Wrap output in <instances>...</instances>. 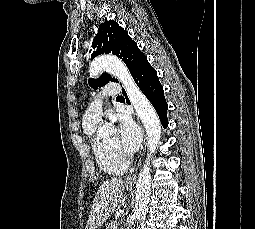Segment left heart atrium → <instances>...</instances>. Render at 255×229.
<instances>
[{
  "instance_id": "39dd6f15",
  "label": "left heart atrium",
  "mask_w": 255,
  "mask_h": 229,
  "mask_svg": "<svg viewBox=\"0 0 255 229\" xmlns=\"http://www.w3.org/2000/svg\"><path fill=\"white\" fill-rule=\"evenodd\" d=\"M120 146L126 153H134L141 142V132L137 124L127 117L119 120Z\"/></svg>"
}]
</instances>
